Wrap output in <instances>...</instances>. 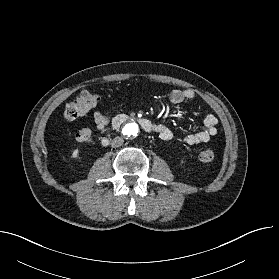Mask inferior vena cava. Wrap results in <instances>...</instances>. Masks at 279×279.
Wrapping results in <instances>:
<instances>
[{
    "instance_id": "602c4592",
    "label": "inferior vena cava",
    "mask_w": 279,
    "mask_h": 279,
    "mask_svg": "<svg viewBox=\"0 0 279 279\" xmlns=\"http://www.w3.org/2000/svg\"><path fill=\"white\" fill-rule=\"evenodd\" d=\"M123 143H124L123 138H122V137H119V136L115 137V138L111 141L112 147H115V148L120 147L121 145H123Z\"/></svg>"
}]
</instances>
